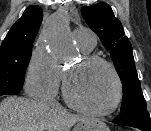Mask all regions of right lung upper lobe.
Listing matches in <instances>:
<instances>
[{
    "mask_svg": "<svg viewBox=\"0 0 151 131\" xmlns=\"http://www.w3.org/2000/svg\"><path fill=\"white\" fill-rule=\"evenodd\" d=\"M42 19V9L38 5L29 6L22 17L11 27L2 44L33 45Z\"/></svg>",
    "mask_w": 151,
    "mask_h": 131,
    "instance_id": "obj_1",
    "label": "right lung upper lobe"
}]
</instances>
